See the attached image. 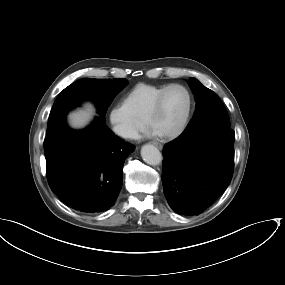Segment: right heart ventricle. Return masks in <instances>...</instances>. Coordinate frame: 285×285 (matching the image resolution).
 <instances>
[{"instance_id": "e07e8e85", "label": "right heart ventricle", "mask_w": 285, "mask_h": 285, "mask_svg": "<svg viewBox=\"0 0 285 285\" xmlns=\"http://www.w3.org/2000/svg\"><path fill=\"white\" fill-rule=\"evenodd\" d=\"M165 86L139 83L126 93L123 103L134 117L143 120L158 94Z\"/></svg>"}]
</instances>
